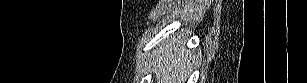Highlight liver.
<instances>
[{
  "label": "liver",
  "mask_w": 307,
  "mask_h": 83,
  "mask_svg": "<svg viewBox=\"0 0 307 83\" xmlns=\"http://www.w3.org/2000/svg\"><path fill=\"white\" fill-rule=\"evenodd\" d=\"M180 38L166 40L156 51L153 69L158 83H185L191 70L188 50Z\"/></svg>",
  "instance_id": "liver-1"
}]
</instances>
